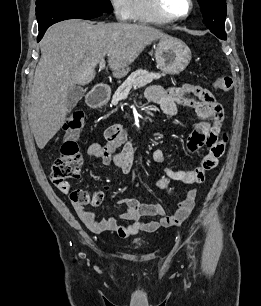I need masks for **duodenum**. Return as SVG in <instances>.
Segmentation results:
<instances>
[{"label": "duodenum", "instance_id": "obj_1", "mask_svg": "<svg viewBox=\"0 0 261 306\" xmlns=\"http://www.w3.org/2000/svg\"><path fill=\"white\" fill-rule=\"evenodd\" d=\"M110 94V87L106 84H99L89 93L87 102L92 108L102 106L108 99Z\"/></svg>", "mask_w": 261, "mask_h": 306}]
</instances>
